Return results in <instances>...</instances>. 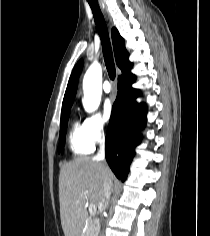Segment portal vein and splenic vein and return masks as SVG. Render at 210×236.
I'll list each match as a JSON object with an SVG mask.
<instances>
[{"label":"portal vein and splenic vein","mask_w":210,"mask_h":236,"mask_svg":"<svg viewBox=\"0 0 210 236\" xmlns=\"http://www.w3.org/2000/svg\"><path fill=\"white\" fill-rule=\"evenodd\" d=\"M96 210H97L96 205L95 204H90V206H89L90 213L95 214Z\"/></svg>","instance_id":"1"}]
</instances>
